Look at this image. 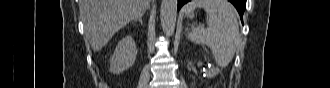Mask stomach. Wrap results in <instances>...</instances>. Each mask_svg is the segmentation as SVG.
<instances>
[{
	"mask_svg": "<svg viewBox=\"0 0 330 88\" xmlns=\"http://www.w3.org/2000/svg\"><path fill=\"white\" fill-rule=\"evenodd\" d=\"M192 15H193V13H192V12L188 14V16H190V17H191Z\"/></svg>",
	"mask_w": 330,
	"mask_h": 88,
	"instance_id": "stomach-1",
	"label": "stomach"
}]
</instances>
